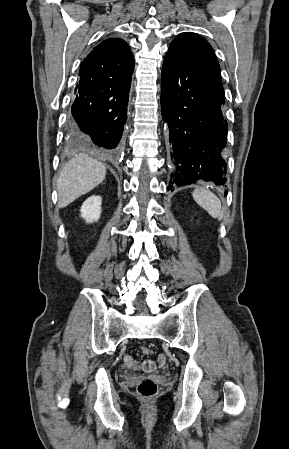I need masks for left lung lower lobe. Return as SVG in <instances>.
<instances>
[{
	"mask_svg": "<svg viewBox=\"0 0 289 449\" xmlns=\"http://www.w3.org/2000/svg\"><path fill=\"white\" fill-rule=\"evenodd\" d=\"M224 98L221 76L208 64L167 53L161 74V111L173 163L168 190L198 180L216 185L227 182Z\"/></svg>",
	"mask_w": 289,
	"mask_h": 449,
	"instance_id": "obj_1",
	"label": "left lung lower lobe"
}]
</instances>
